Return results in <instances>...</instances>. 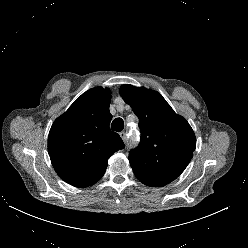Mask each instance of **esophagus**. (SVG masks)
Returning a JSON list of instances; mask_svg holds the SVG:
<instances>
[{"mask_svg": "<svg viewBox=\"0 0 248 248\" xmlns=\"http://www.w3.org/2000/svg\"><path fill=\"white\" fill-rule=\"evenodd\" d=\"M119 135L122 138V140L124 142H126V140H127L126 132L125 131H122V132L119 133Z\"/></svg>", "mask_w": 248, "mask_h": 248, "instance_id": "obj_1", "label": "esophagus"}]
</instances>
